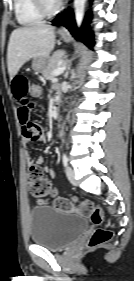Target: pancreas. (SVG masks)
<instances>
[{
	"mask_svg": "<svg viewBox=\"0 0 134 281\" xmlns=\"http://www.w3.org/2000/svg\"><path fill=\"white\" fill-rule=\"evenodd\" d=\"M65 55V51L59 50L56 51L49 59L48 64L45 69L42 71L43 78L46 80H51L54 76L52 75L53 70L60 67V61Z\"/></svg>",
	"mask_w": 134,
	"mask_h": 281,
	"instance_id": "cf45deb5",
	"label": "pancreas"
}]
</instances>
